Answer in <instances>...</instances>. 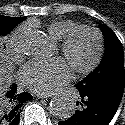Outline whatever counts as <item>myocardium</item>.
Wrapping results in <instances>:
<instances>
[{"label": "myocardium", "instance_id": "myocardium-1", "mask_svg": "<svg viewBox=\"0 0 125 125\" xmlns=\"http://www.w3.org/2000/svg\"><path fill=\"white\" fill-rule=\"evenodd\" d=\"M84 33L91 34L95 39V51L88 62L83 65L73 64L72 70L77 74L92 72L101 62L104 54V39L102 33L94 27L80 25L72 30L60 43V52L64 58L69 57L76 40Z\"/></svg>", "mask_w": 125, "mask_h": 125}]
</instances>
